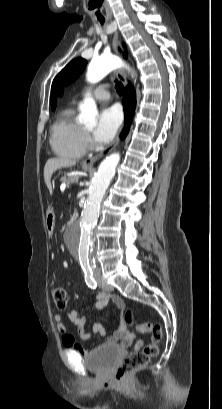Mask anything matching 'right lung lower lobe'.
<instances>
[{
	"instance_id": "98d812e1",
	"label": "right lung lower lobe",
	"mask_w": 222,
	"mask_h": 409,
	"mask_svg": "<svg viewBox=\"0 0 222 409\" xmlns=\"http://www.w3.org/2000/svg\"><path fill=\"white\" fill-rule=\"evenodd\" d=\"M123 106L125 113L124 129L121 133V138H124L129 131V126L132 123L135 107H136V93L133 87L129 84L125 88V94L123 98Z\"/></svg>"
}]
</instances>
